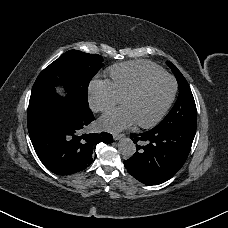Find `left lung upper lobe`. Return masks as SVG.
<instances>
[{"label": "left lung upper lobe", "instance_id": "left-lung-upper-lobe-1", "mask_svg": "<svg viewBox=\"0 0 228 228\" xmlns=\"http://www.w3.org/2000/svg\"><path fill=\"white\" fill-rule=\"evenodd\" d=\"M167 65L178 81L179 96L171 111L157 126L169 129L189 128L196 130L197 110L191 89L177 67L171 62H167Z\"/></svg>", "mask_w": 228, "mask_h": 228}]
</instances>
